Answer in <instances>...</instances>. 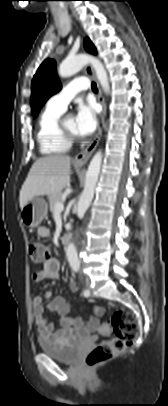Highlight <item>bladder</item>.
I'll list each match as a JSON object with an SVG mask.
<instances>
[{
  "mask_svg": "<svg viewBox=\"0 0 168 406\" xmlns=\"http://www.w3.org/2000/svg\"><path fill=\"white\" fill-rule=\"evenodd\" d=\"M39 345L46 355L61 363L72 364L80 357V348L75 345H57L43 338L39 339Z\"/></svg>",
  "mask_w": 168,
  "mask_h": 406,
  "instance_id": "31cf9c89",
  "label": "bladder"
}]
</instances>
